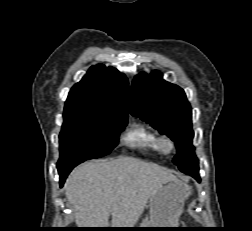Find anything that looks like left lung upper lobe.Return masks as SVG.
Here are the masks:
<instances>
[{"mask_svg": "<svg viewBox=\"0 0 252 231\" xmlns=\"http://www.w3.org/2000/svg\"><path fill=\"white\" fill-rule=\"evenodd\" d=\"M130 112L175 142L173 162L180 171L199 168L192 145V111L183 89L165 81L158 71L141 73L132 83Z\"/></svg>", "mask_w": 252, "mask_h": 231, "instance_id": "5c2ea615", "label": "left lung upper lobe"}]
</instances>
